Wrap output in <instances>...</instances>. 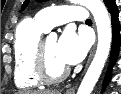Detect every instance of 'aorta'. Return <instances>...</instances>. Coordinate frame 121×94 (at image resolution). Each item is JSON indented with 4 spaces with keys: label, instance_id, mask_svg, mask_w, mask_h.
<instances>
[{
    "label": "aorta",
    "instance_id": "1",
    "mask_svg": "<svg viewBox=\"0 0 121 94\" xmlns=\"http://www.w3.org/2000/svg\"><path fill=\"white\" fill-rule=\"evenodd\" d=\"M72 3H79L90 10L94 16L97 31L98 45L94 59L89 66L77 94H91L110 52L112 41V28L108 11L102 0H71ZM55 34H50V37Z\"/></svg>",
    "mask_w": 121,
    "mask_h": 94
}]
</instances>
